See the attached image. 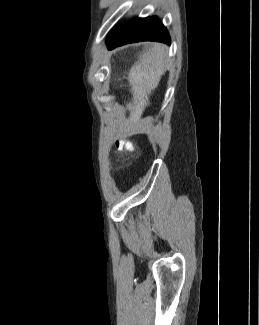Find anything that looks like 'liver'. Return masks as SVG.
<instances>
[{
  "instance_id": "liver-1",
  "label": "liver",
  "mask_w": 259,
  "mask_h": 325,
  "mask_svg": "<svg viewBox=\"0 0 259 325\" xmlns=\"http://www.w3.org/2000/svg\"><path fill=\"white\" fill-rule=\"evenodd\" d=\"M165 47L154 44L151 49L139 56L131 67L128 81L131 85L132 101L127 104L130 120L137 122L149 105V96L155 90L165 73Z\"/></svg>"
}]
</instances>
